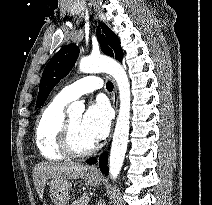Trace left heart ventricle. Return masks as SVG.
<instances>
[{"mask_svg":"<svg viewBox=\"0 0 212 205\" xmlns=\"http://www.w3.org/2000/svg\"><path fill=\"white\" fill-rule=\"evenodd\" d=\"M73 144L78 149H84L94 143L83 131L82 115L75 114L69 117Z\"/></svg>","mask_w":212,"mask_h":205,"instance_id":"b2bd125f","label":"left heart ventricle"}]
</instances>
